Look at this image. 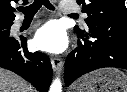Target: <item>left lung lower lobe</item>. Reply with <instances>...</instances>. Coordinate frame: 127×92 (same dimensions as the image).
<instances>
[{
    "label": "left lung lower lobe",
    "instance_id": "left-lung-lower-lobe-1",
    "mask_svg": "<svg viewBox=\"0 0 127 92\" xmlns=\"http://www.w3.org/2000/svg\"><path fill=\"white\" fill-rule=\"evenodd\" d=\"M77 35L83 42H78L79 46L66 59V86L99 68L127 69V26L103 24ZM89 37L96 40L90 41Z\"/></svg>",
    "mask_w": 127,
    "mask_h": 92
}]
</instances>
